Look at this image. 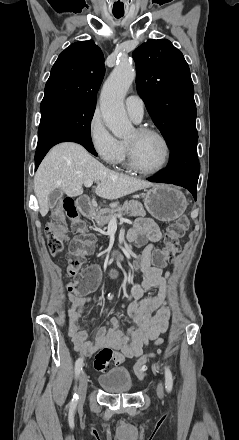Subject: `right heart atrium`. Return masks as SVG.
<instances>
[{"instance_id": "obj_1", "label": "right heart atrium", "mask_w": 239, "mask_h": 440, "mask_svg": "<svg viewBox=\"0 0 239 440\" xmlns=\"http://www.w3.org/2000/svg\"><path fill=\"white\" fill-rule=\"evenodd\" d=\"M88 139L98 156L109 166L120 164L125 152V143L108 130L99 112H94L88 124Z\"/></svg>"}]
</instances>
